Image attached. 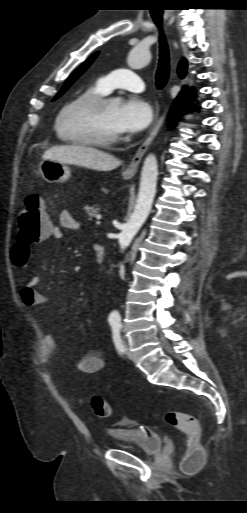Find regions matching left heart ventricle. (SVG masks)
I'll list each match as a JSON object with an SVG mask.
<instances>
[{
    "label": "left heart ventricle",
    "instance_id": "left-heart-ventricle-1",
    "mask_svg": "<svg viewBox=\"0 0 247 513\" xmlns=\"http://www.w3.org/2000/svg\"><path fill=\"white\" fill-rule=\"evenodd\" d=\"M117 108V102L111 101L94 112L72 110L64 118V130L68 135H91L103 138L118 136L114 126Z\"/></svg>",
    "mask_w": 247,
    "mask_h": 513
}]
</instances>
